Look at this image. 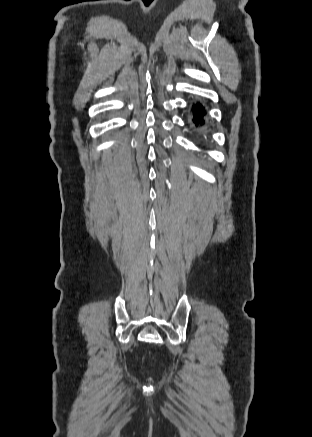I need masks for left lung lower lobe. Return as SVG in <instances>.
Here are the masks:
<instances>
[{
	"instance_id": "left-lung-lower-lobe-1",
	"label": "left lung lower lobe",
	"mask_w": 312,
	"mask_h": 437,
	"mask_svg": "<svg viewBox=\"0 0 312 437\" xmlns=\"http://www.w3.org/2000/svg\"><path fill=\"white\" fill-rule=\"evenodd\" d=\"M203 115H204V109L200 104L194 105V118L193 121L196 125L203 124Z\"/></svg>"
}]
</instances>
